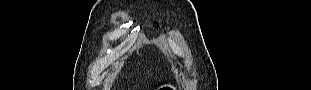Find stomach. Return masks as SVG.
Masks as SVG:
<instances>
[{
    "instance_id": "1",
    "label": "stomach",
    "mask_w": 311,
    "mask_h": 90,
    "mask_svg": "<svg viewBox=\"0 0 311 90\" xmlns=\"http://www.w3.org/2000/svg\"><path fill=\"white\" fill-rule=\"evenodd\" d=\"M170 89V86H167V85H164V86H161L160 90H169Z\"/></svg>"
}]
</instances>
